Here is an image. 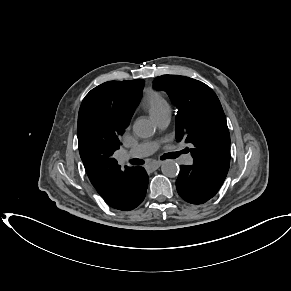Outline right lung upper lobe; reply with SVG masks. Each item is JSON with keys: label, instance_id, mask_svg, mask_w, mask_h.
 I'll return each instance as SVG.
<instances>
[{"label": "right lung upper lobe", "instance_id": "right-lung-upper-lobe-1", "mask_svg": "<svg viewBox=\"0 0 291 291\" xmlns=\"http://www.w3.org/2000/svg\"><path fill=\"white\" fill-rule=\"evenodd\" d=\"M144 85L142 79L109 81L92 89L83 99L78 114L79 153L86 173L99 195L108 203L125 193V171L112 157Z\"/></svg>", "mask_w": 291, "mask_h": 291}]
</instances>
